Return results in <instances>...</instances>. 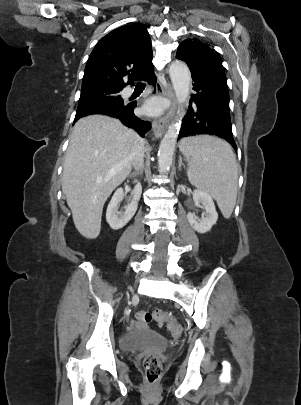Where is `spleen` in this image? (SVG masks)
Listing matches in <instances>:
<instances>
[{
  "label": "spleen",
  "mask_w": 301,
  "mask_h": 405,
  "mask_svg": "<svg viewBox=\"0 0 301 405\" xmlns=\"http://www.w3.org/2000/svg\"><path fill=\"white\" fill-rule=\"evenodd\" d=\"M179 148L188 159L190 183L210 194L223 216L230 218L237 198L238 171L229 144L219 138L202 135L182 139Z\"/></svg>",
  "instance_id": "spleen-1"
}]
</instances>
